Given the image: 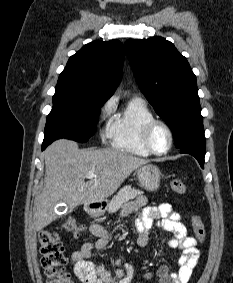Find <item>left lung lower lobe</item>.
I'll return each mask as SVG.
<instances>
[{"mask_svg": "<svg viewBox=\"0 0 233 283\" xmlns=\"http://www.w3.org/2000/svg\"><path fill=\"white\" fill-rule=\"evenodd\" d=\"M205 150H206V146H189L184 149H181V153H187L193 155L198 160L201 167L203 168Z\"/></svg>", "mask_w": 233, "mask_h": 283, "instance_id": "1", "label": "left lung lower lobe"}]
</instances>
